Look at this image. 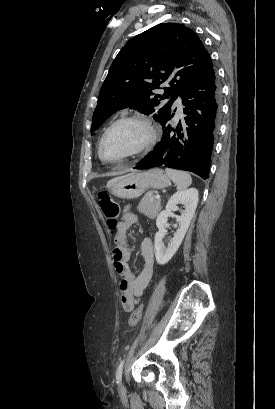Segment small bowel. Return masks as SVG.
Returning <instances> with one entry per match:
<instances>
[{"instance_id":"1","label":"small bowel","mask_w":275,"mask_h":409,"mask_svg":"<svg viewBox=\"0 0 275 409\" xmlns=\"http://www.w3.org/2000/svg\"><path fill=\"white\" fill-rule=\"evenodd\" d=\"M135 221V216L129 212L128 207H125L121 222L117 227L118 246L113 250L111 257L115 271L121 276V304L125 311H131L134 308L153 275L154 248L149 238L143 239L140 246L144 259L143 268L134 272L129 267L132 250L128 240V232Z\"/></svg>"}]
</instances>
